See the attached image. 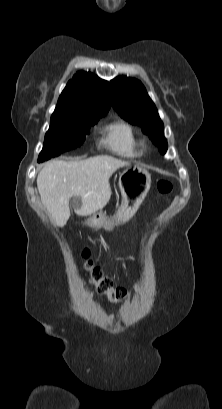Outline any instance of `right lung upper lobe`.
<instances>
[{
  "label": "right lung upper lobe",
  "instance_id": "cb5924a9",
  "mask_svg": "<svg viewBox=\"0 0 222 409\" xmlns=\"http://www.w3.org/2000/svg\"><path fill=\"white\" fill-rule=\"evenodd\" d=\"M111 93L107 81L87 72H77L62 91L54 112L73 109L108 111Z\"/></svg>",
  "mask_w": 222,
  "mask_h": 409
}]
</instances>
